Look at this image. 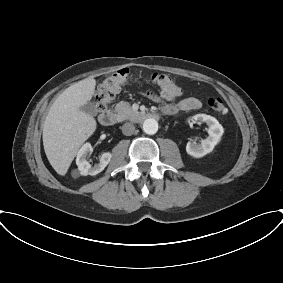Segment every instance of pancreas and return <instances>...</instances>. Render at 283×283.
Segmentation results:
<instances>
[{"instance_id":"1","label":"pancreas","mask_w":283,"mask_h":283,"mask_svg":"<svg viewBox=\"0 0 283 283\" xmlns=\"http://www.w3.org/2000/svg\"><path fill=\"white\" fill-rule=\"evenodd\" d=\"M114 112L117 115V118L120 121L130 119L133 115H135V111L131 108L128 102H119L115 108Z\"/></svg>"}]
</instances>
